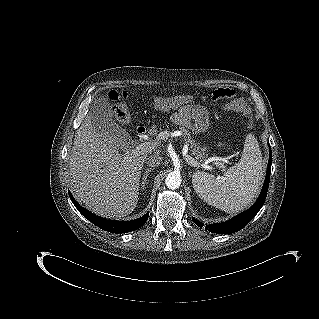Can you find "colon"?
<instances>
[{
  "label": "colon",
  "instance_id": "5ec220e1",
  "mask_svg": "<svg viewBox=\"0 0 319 319\" xmlns=\"http://www.w3.org/2000/svg\"><path fill=\"white\" fill-rule=\"evenodd\" d=\"M109 98L112 100H118L120 98V94L116 91H112L109 94ZM211 100L214 102H220V101H225L228 106L231 107H236L237 109L245 112L247 108L245 106H240L238 104H234L233 100L235 98V92L229 89H217L212 92L210 96ZM192 97L187 96V95H176L172 97H166L162 95H154L151 98L152 103L159 108H170V107H175L180 104L186 103L190 101ZM116 118L118 121L122 123H126L130 119V115L128 110L126 109L125 106L123 105H118L116 107ZM222 146V145H220Z\"/></svg>",
  "mask_w": 319,
  "mask_h": 319
}]
</instances>
